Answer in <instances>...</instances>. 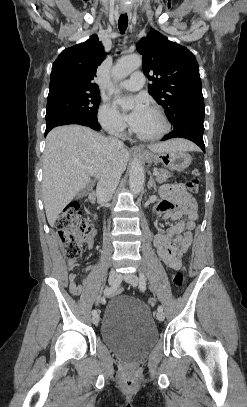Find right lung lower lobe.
Instances as JSON below:
<instances>
[{"label":"right lung lower lobe","mask_w":247,"mask_h":407,"mask_svg":"<svg viewBox=\"0 0 247 407\" xmlns=\"http://www.w3.org/2000/svg\"><path fill=\"white\" fill-rule=\"evenodd\" d=\"M66 124H80L88 126L97 131L101 129V126L98 124L97 120H90L79 116H60L46 122L45 136L52 128Z\"/></svg>","instance_id":"98d812e1"}]
</instances>
